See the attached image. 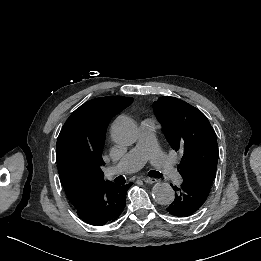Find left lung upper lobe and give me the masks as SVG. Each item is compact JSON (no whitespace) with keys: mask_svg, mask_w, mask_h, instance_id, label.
Segmentation results:
<instances>
[{"mask_svg":"<svg viewBox=\"0 0 261 261\" xmlns=\"http://www.w3.org/2000/svg\"><path fill=\"white\" fill-rule=\"evenodd\" d=\"M154 113L175 150L183 153L178 166L183 178L211 188L216 174L219 150L216 134L206 116L175 97H160L153 103Z\"/></svg>","mask_w":261,"mask_h":261,"instance_id":"1","label":"left lung upper lobe"}]
</instances>
